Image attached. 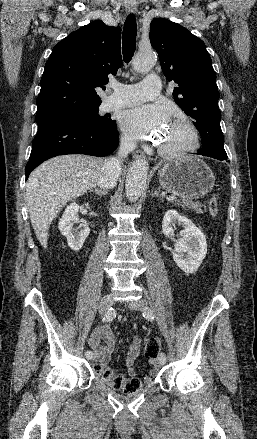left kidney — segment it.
<instances>
[{"instance_id":"1","label":"left kidney","mask_w":257,"mask_h":439,"mask_svg":"<svg viewBox=\"0 0 257 439\" xmlns=\"http://www.w3.org/2000/svg\"><path fill=\"white\" fill-rule=\"evenodd\" d=\"M183 227L182 238L175 241L173 260L186 273H194L202 264L206 253L205 235L191 220L178 214L176 210H168L163 218L162 232L165 236L174 234L175 225Z\"/></svg>"}]
</instances>
